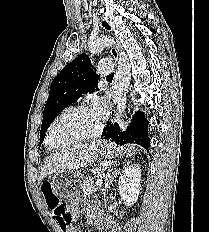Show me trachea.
<instances>
[{
    "label": "trachea",
    "instance_id": "3493384b",
    "mask_svg": "<svg viewBox=\"0 0 209 232\" xmlns=\"http://www.w3.org/2000/svg\"><path fill=\"white\" fill-rule=\"evenodd\" d=\"M114 77V73H111L107 76V79H112Z\"/></svg>",
    "mask_w": 209,
    "mask_h": 232
}]
</instances>
